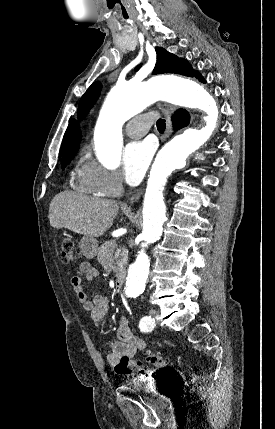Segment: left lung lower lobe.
Here are the masks:
<instances>
[{"label":"left lung lower lobe","instance_id":"left-lung-lower-lobe-1","mask_svg":"<svg viewBox=\"0 0 275 429\" xmlns=\"http://www.w3.org/2000/svg\"><path fill=\"white\" fill-rule=\"evenodd\" d=\"M196 78L199 79L201 82L205 83L203 77L199 74V72L196 73Z\"/></svg>","mask_w":275,"mask_h":429}]
</instances>
